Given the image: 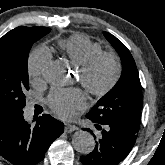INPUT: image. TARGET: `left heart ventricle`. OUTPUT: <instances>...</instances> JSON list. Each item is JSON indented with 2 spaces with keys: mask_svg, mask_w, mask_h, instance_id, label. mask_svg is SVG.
I'll list each match as a JSON object with an SVG mask.
<instances>
[{
  "mask_svg": "<svg viewBox=\"0 0 165 165\" xmlns=\"http://www.w3.org/2000/svg\"><path fill=\"white\" fill-rule=\"evenodd\" d=\"M111 72H112L111 64L108 61L104 60L96 68L93 74V81L98 85H102L108 81Z\"/></svg>",
  "mask_w": 165,
  "mask_h": 165,
  "instance_id": "b2bd125f",
  "label": "left heart ventricle"
}]
</instances>
